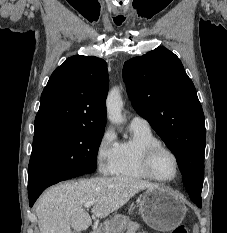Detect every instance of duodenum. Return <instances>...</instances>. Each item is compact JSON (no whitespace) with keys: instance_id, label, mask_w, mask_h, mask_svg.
<instances>
[{"instance_id":"obj_1","label":"duodenum","mask_w":227,"mask_h":233,"mask_svg":"<svg viewBox=\"0 0 227 233\" xmlns=\"http://www.w3.org/2000/svg\"><path fill=\"white\" fill-rule=\"evenodd\" d=\"M90 233H98V232H96V231H92V232H90Z\"/></svg>"}]
</instances>
